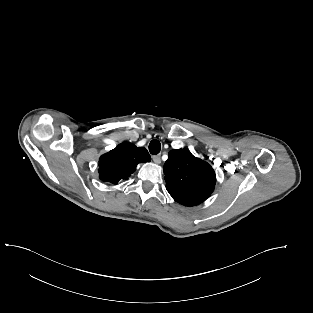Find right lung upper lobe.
<instances>
[{"mask_svg": "<svg viewBox=\"0 0 313 313\" xmlns=\"http://www.w3.org/2000/svg\"><path fill=\"white\" fill-rule=\"evenodd\" d=\"M150 160L146 148L123 142L99 158L100 179L118 184L120 180L127 179L136 170L138 163L150 162Z\"/></svg>", "mask_w": 313, "mask_h": 313, "instance_id": "right-lung-upper-lobe-1", "label": "right lung upper lobe"}]
</instances>
